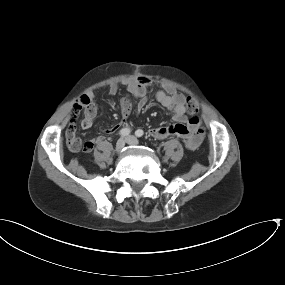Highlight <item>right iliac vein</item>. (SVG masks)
Masks as SVG:
<instances>
[{"instance_id":"1","label":"right iliac vein","mask_w":285,"mask_h":285,"mask_svg":"<svg viewBox=\"0 0 285 285\" xmlns=\"http://www.w3.org/2000/svg\"><path fill=\"white\" fill-rule=\"evenodd\" d=\"M124 146H125V140L123 138L119 139L115 147L116 152L120 154L122 150L124 149Z\"/></svg>"}]
</instances>
